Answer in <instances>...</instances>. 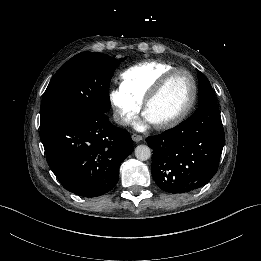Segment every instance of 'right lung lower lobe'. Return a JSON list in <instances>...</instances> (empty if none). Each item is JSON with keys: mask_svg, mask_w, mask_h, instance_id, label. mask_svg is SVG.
Returning <instances> with one entry per match:
<instances>
[{"mask_svg": "<svg viewBox=\"0 0 261 261\" xmlns=\"http://www.w3.org/2000/svg\"><path fill=\"white\" fill-rule=\"evenodd\" d=\"M40 139L61 185L81 197L110 191L118 181L121 163L133 151L130 134L100 112L48 119L40 124Z\"/></svg>", "mask_w": 261, "mask_h": 261, "instance_id": "obj_1", "label": "right lung lower lobe"}]
</instances>
